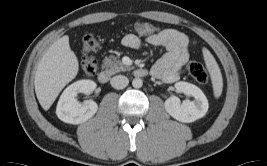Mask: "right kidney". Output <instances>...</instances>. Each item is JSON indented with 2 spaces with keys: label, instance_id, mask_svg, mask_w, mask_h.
Wrapping results in <instances>:
<instances>
[{
  "label": "right kidney",
  "instance_id": "ca27d5eb",
  "mask_svg": "<svg viewBox=\"0 0 267 166\" xmlns=\"http://www.w3.org/2000/svg\"><path fill=\"white\" fill-rule=\"evenodd\" d=\"M96 88L92 80H79L69 85L60 96L56 114L58 118L69 124H81L90 119L98 109L93 100L79 102L76 96L79 93L90 94Z\"/></svg>",
  "mask_w": 267,
  "mask_h": 166
}]
</instances>
